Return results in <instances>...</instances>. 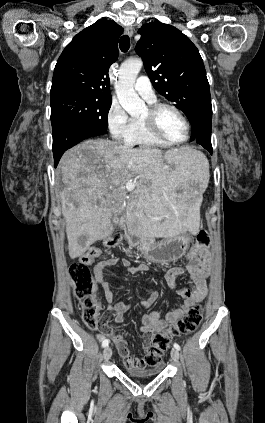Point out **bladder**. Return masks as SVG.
<instances>
[{
    "instance_id": "1",
    "label": "bladder",
    "mask_w": 265,
    "mask_h": 423,
    "mask_svg": "<svg viewBox=\"0 0 265 423\" xmlns=\"http://www.w3.org/2000/svg\"><path fill=\"white\" fill-rule=\"evenodd\" d=\"M162 372V367L155 368H135V367H125V373L132 377L145 378L157 376Z\"/></svg>"
}]
</instances>
